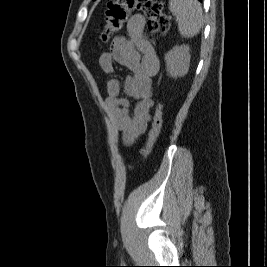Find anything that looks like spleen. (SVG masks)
I'll return each mask as SVG.
<instances>
[{"label":"spleen","instance_id":"1","mask_svg":"<svg viewBox=\"0 0 267 267\" xmlns=\"http://www.w3.org/2000/svg\"><path fill=\"white\" fill-rule=\"evenodd\" d=\"M169 10L176 16L183 37L197 35L203 25V10L198 0H169Z\"/></svg>","mask_w":267,"mask_h":267}]
</instances>
